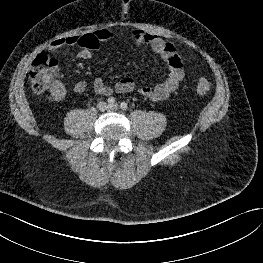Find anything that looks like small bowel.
Segmentation results:
<instances>
[{"label":"small bowel","instance_id":"c3829d8e","mask_svg":"<svg viewBox=\"0 0 263 263\" xmlns=\"http://www.w3.org/2000/svg\"><path fill=\"white\" fill-rule=\"evenodd\" d=\"M121 37L137 46L147 45L151 50L158 54L168 66V74L165 80L154 86H146L138 89V92L155 101L160 102L167 99L177 90L184 79L185 73L181 58L174 44L166 42L160 37L147 33L140 29L123 30ZM114 35L107 29H100L93 33L72 35L53 41L48 49L50 52H57L65 46L80 47L78 57L83 60H89L92 57V51L97 49L103 42L109 41ZM87 88V82L80 80L73 86V92L83 93ZM93 89L98 95L109 96L114 91L117 93H130L136 90V83L131 78L119 80L114 87L107 85L102 78H96L93 82ZM53 99L60 101L66 96V89L61 83H56L51 89Z\"/></svg>","mask_w":263,"mask_h":263}]
</instances>
